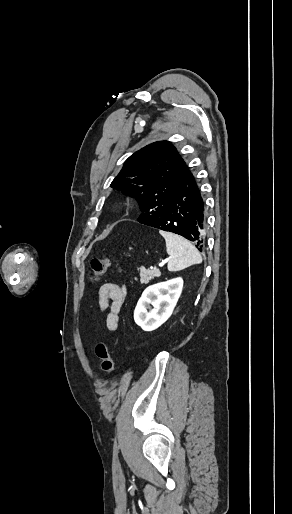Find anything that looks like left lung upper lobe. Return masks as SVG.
I'll return each instance as SVG.
<instances>
[{
	"label": "left lung upper lobe",
	"mask_w": 292,
	"mask_h": 514,
	"mask_svg": "<svg viewBox=\"0 0 292 514\" xmlns=\"http://www.w3.org/2000/svg\"><path fill=\"white\" fill-rule=\"evenodd\" d=\"M189 174L172 143L157 141L133 153L110 186L137 198L142 211L137 221L145 224L161 213Z\"/></svg>",
	"instance_id": "left-lung-upper-lobe-1"
}]
</instances>
